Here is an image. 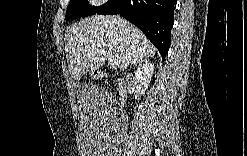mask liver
Wrapping results in <instances>:
<instances>
[{"instance_id":"1","label":"liver","mask_w":247,"mask_h":156,"mask_svg":"<svg viewBox=\"0 0 247 156\" xmlns=\"http://www.w3.org/2000/svg\"><path fill=\"white\" fill-rule=\"evenodd\" d=\"M65 51L69 73L75 81L114 59L120 70L140 58L155 55V47L144 34L125 19L95 15L66 29Z\"/></svg>"}]
</instances>
